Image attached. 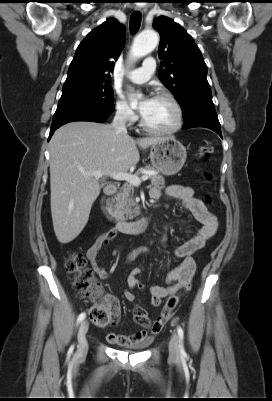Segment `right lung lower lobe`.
Segmentation results:
<instances>
[{
    "mask_svg": "<svg viewBox=\"0 0 272 401\" xmlns=\"http://www.w3.org/2000/svg\"><path fill=\"white\" fill-rule=\"evenodd\" d=\"M108 116L109 115H101V114H97V113L84 112V113L73 114V115L58 119L56 121H53L52 125H51V129H50L48 141L52 137L54 131L66 123L73 122V121H92V122L101 123V122H104L108 118Z\"/></svg>",
    "mask_w": 272,
    "mask_h": 401,
    "instance_id": "1",
    "label": "right lung lower lobe"
}]
</instances>
